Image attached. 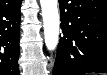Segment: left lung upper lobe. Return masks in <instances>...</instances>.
Segmentation results:
<instances>
[{"mask_svg":"<svg viewBox=\"0 0 107 75\" xmlns=\"http://www.w3.org/2000/svg\"><path fill=\"white\" fill-rule=\"evenodd\" d=\"M69 30L67 32V39L69 40H78L82 37L83 34V25L81 24L80 18L74 17L72 21L68 24Z\"/></svg>","mask_w":107,"mask_h":75,"instance_id":"left-lung-upper-lobe-1","label":"left lung upper lobe"}]
</instances>
